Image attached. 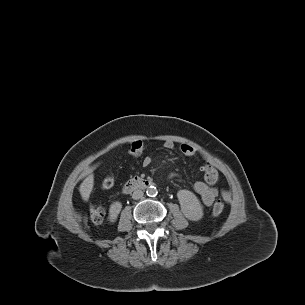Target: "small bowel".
I'll return each mask as SVG.
<instances>
[{"mask_svg":"<svg viewBox=\"0 0 305 305\" xmlns=\"http://www.w3.org/2000/svg\"><path fill=\"white\" fill-rule=\"evenodd\" d=\"M164 147L168 150H173L175 148V143L172 140H167L164 142ZM180 151L187 158L195 157L198 154V150L189 144H181ZM151 162L152 159L149 156L143 158L144 166L150 165ZM218 175V170L215 164L212 160L206 157V164L204 165V180L197 181L193 185L194 191L200 195L203 204L206 206H211L219 194V188L216 187ZM174 176H176V174H171V177ZM221 193L225 198L229 197V193L226 190L222 189Z\"/></svg>","mask_w":305,"mask_h":305,"instance_id":"c3829d8e","label":"small bowel"}]
</instances>
